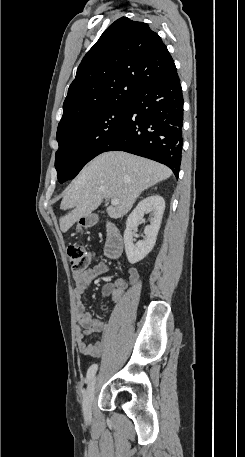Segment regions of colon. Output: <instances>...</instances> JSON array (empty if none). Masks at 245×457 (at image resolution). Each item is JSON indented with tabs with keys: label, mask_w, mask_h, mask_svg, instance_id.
<instances>
[{
	"label": "colon",
	"mask_w": 245,
	"mask_h": 457,
	"mask_svg": "<svg viewBox=\"0 0 245 457\" xmlns=\"http://www.w3.org/2000/svg\"><path fill=\"white\" fill-rule=\"evenodd\" d=\"M67 255L74 271H83L89 264V252L84 245H69Z\"/></svg>",
	"instance_id": "1"
}]
</instances>
